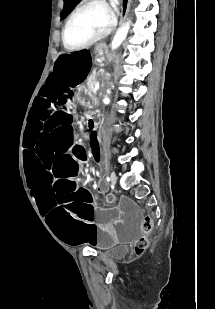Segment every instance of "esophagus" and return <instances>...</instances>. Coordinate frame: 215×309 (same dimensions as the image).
<instances>
[{"label":"esophagus","mask_w":215,"mask_h":309,"mask_svg":"<svg viewBox=\"0 0 215 309\" xmlns=\"http://www.w3.org/2000/svg\"><path fill=\"white\" fill-rule=\"evenodd\" d=\"M130 1L131 0H122L121 3V18H120V22H124L128 13V9L130 6Z\"/></svg>","instance_id":"34e87169"}]
</instances>
